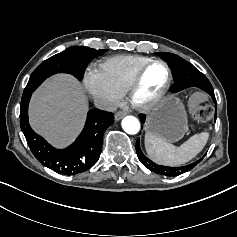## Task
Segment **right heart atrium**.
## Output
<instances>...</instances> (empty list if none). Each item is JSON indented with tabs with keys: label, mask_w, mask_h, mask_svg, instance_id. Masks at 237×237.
Instances as JSON below:
<instances>
[{
	"label": "right heart atrium",
	"mask_w": 237,
	"mask_h": 237,
	"mask_svg": "<svg viewBox=\"0 0 237 237\" xmlns=\"http://www.w3.org/2000/svg\"><path fill=\"white\" fill-rule=\"evenodd\" d=\"M83 84L94 103L103 110H112L121 98V93L99 67H89L85 71Z\"/></svg>",
	"instance_id": "1"
}]
</instances>
